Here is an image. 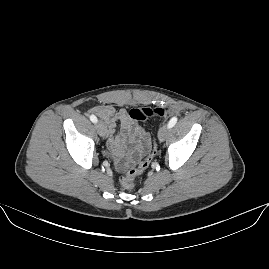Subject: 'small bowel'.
<instances>
[{"label": "small bowel", "mask_w": 269, "mask_h": 269, "mask_svg": "<svg viewBox=\"0 0 269 269\" xmlns=\"http://www.w3.org/2000/svg\"><path fill=\"white\" fill-rule=\"evenodd\" d=\"M92 113L106 122L109 131L107 147L119 171L123 172L131 164L141 162L140 154L143 150H153L149 133L130 118L127 110L102 104L94 106Z\"/></svg>", "instance_id": "small-bowel-1"}]
</instances>
